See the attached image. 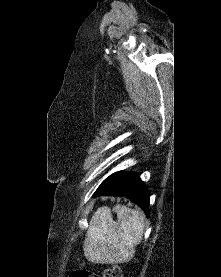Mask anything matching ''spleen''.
<instances>
[{"instance_id": "3e777b00", "label": "spleen", "mask_w": 221, "mask_h": 277, "mask_svg": "<svg viewBox=\"0 0 221 277\" xmlns=\"http://www.w3.org/2000/svg\"><path fill=\"white\" fill-rule=\"evenodd\" d=\"M118 220L113 221L108 209L93 215L83 243L85 257L96 263L118 264L133 258L135 246L143 237L144 216L136 209L117 205Z\"/></svg>"}]
</instances>
